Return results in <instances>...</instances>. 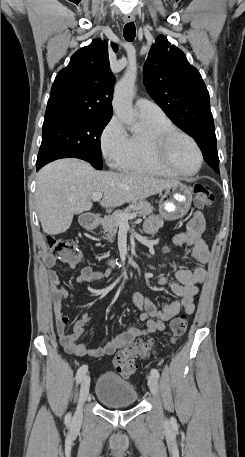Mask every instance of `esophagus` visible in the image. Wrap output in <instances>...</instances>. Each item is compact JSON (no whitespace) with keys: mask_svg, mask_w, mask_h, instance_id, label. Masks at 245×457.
Returning <instances> with one entry per match:
<instances>
[{"mask_svg":"<svg viewBox=\"0 0 245 457\" xmlns=\"http://www.w3.org/2000/svg\"><path fill=\"white\" fill-rule=\"evenodd\" d=\"M134 20H135V16L132 14L125 15L123 18V21L125 23L134 22Z\"/></svg>","mask_w":245,"mask_h":457,"instance_id":"obj_1","label":"esophagus"}]
</instances>
